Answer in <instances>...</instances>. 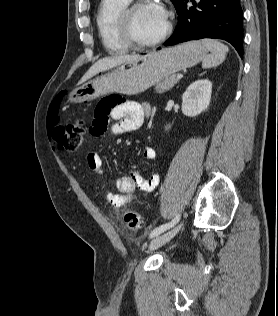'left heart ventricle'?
<instances>
[{
	"mask_svg": "<svg viewBox=\"0 0 278 316\" xmlns=\"http://www.w3.org/2000/svg\"><path fill=\"white\" fill-rule=\"evenodd\" d=\"M133 31L135 36L144 42L157 38L165 29L166 20L160 18L147 3L133 13Z\"/></svg>",
	"mask_w": 278,
	"mask_h": 316,
	"instance_id": "left-heart-ventricle-1",
	"label": "left heart ventricle"
}]
</instances>
